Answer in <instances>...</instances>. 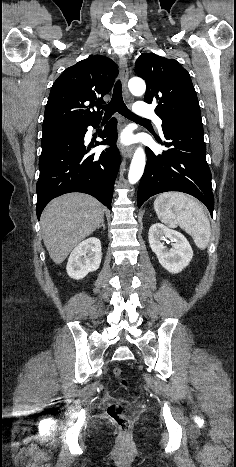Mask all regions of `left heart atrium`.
I'll return each instance as SVG.
<instances>
[{
	"instance_id": "39dd6f15",
	"label": "left heart atrium",
	"mask_w": 236,
	"mask_h": 467,
	"mask_svg": "<svg viewBox=\"0 0 236 467\" xmlns=\"http://www.w3.org/2000/svg\"><path fill=\"white\" fill-rule=\"evenodd\" d=\"M123 143H127L130 141V137L128 135H124L122 138Z\"/></svg>"
}]
</instances>
